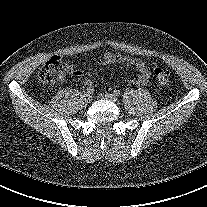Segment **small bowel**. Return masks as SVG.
<instances>
[{
  "label": "small bowel",
  "instance_id": "1",
  "mask_svg": "<svg viewBox=\"0 0 207 207\" xmlns=\"http://www.w3.org/2000/svg\"><path fill=\"white\" fill-rule=\"evenodd\" d=\"M116 62L125 63L137 70L138 75L132 80V83L134 85L144 86L148 83L150 79V71L147 68L146 64L141 59L134 58L128 55L114 53V52H106L103 54L102 58L99 60V63L102 65L113 64ZM68 70L72 75L76 77H79L82 75V70L76 67L72 63L68 65ZM64 79H65V75L62 74L59 77L58 81L63 82ZM85 84L93 88V81L91 79L89 78L85 79Z\"/></svg>",
  "mask_w": 207,
  "mask_h": 207
}]
</instances>
